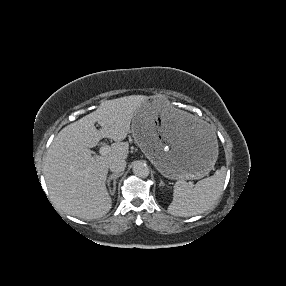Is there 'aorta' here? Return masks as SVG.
Here are the masks:
<instances>
[{"instance_id":"1","label":"aorta","mask_w":286,"mask_h":286,"mask_svg":"<svg viewBox=\"0 0 286 286\" xmlns=\"http://www.w3.org/2000/svg\"><path fill=\"white\" fill-rule=\"evenodd\" d=\"M133 173L140 178H146L149 176V167L148 165L143 161H135L133 163Z\"/></svg>"}]
</instances>
